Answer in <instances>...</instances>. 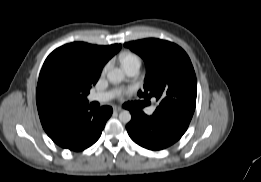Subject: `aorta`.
Segmentation results:
<instances>
[{"mask_svg": "<svg viewBox=\"0 0 261 182\" xmlns=\"http://www.w3.org/2000/svg\"><path fill=\"white\" fill-rule=\"evenodd\" d=\"M107 79L109 82L117 84L124 80V73L119 68H114L107 73ZM119 120L122 123H128L131 120V114L129 111L124 110L119 114Z\"/></svg>", "mask_w": 261, "mask_h": 182, "instance_id": "762f6f07", "label": "aorta"}]
</instances>
